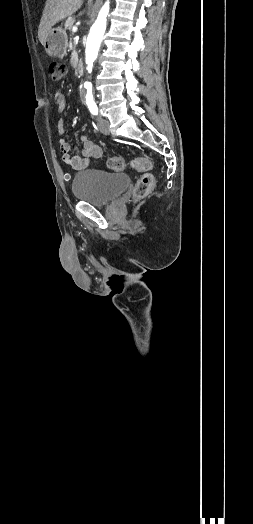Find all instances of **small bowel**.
Returning a JSON list of instances; mask_svg holds the SVG:
<instances>
[{
	"mask_svg": "<svg viewBox=\"0 0 253 524\" xmlns=\"http://www.w3.org/2000/svg\"><path fill=\"white\" fill-rule=\"evenodd\" d=\"M55 99L57 102L58 112L61 113L66 108V98L61 92H56ZM57 132L60 135L59 146L62 155V160L65 163L69 164L73 170H84L88 167L91 159L99 158L102 156V148L93 143L87 135H81L80 141L83 145L81 153L79 155L71 157L70 151L72 149V145L66 140L65 137H63V134L65 132L63 119H59L57 123Z\"/></svg>",
	"mask_w": 253,
	"mask_h": 524,
	"instance_id": "obj_1",
	"label": "small bowel"
}]
</instances>
